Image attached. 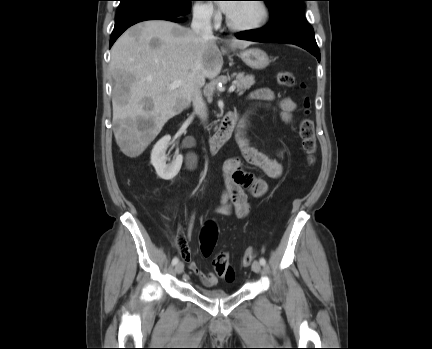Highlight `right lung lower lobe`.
<instances>
[{"instance_id": "obj_1", "label": "right lung lower lobe", "mask_w": 432, "mask_h": 349, "mask_svg": "<svg viewBox=\"0 0 432 349\" xmlns=\"http://www.w3.org/2000/svg\"><path fill=\"white\" fill-rule=\"evenodd\" d=\"M190 12L189 10L177 11L167 6L159 4H140L120 10L115 17V26L111 34V47L116 39L130 26L146 20H168L172 22H182L181 17Z\"/></svg>"}]
</instances>
